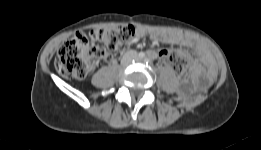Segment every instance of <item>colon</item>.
<instances>
[{
  "instance_id": "obj_1",
  "label": "colon",
  "mask_w": 261,
  "mask_h": 150,
  "mask_svg": "<svg viewBox=\"0 0 261 150\" xmlns=\"http://www.w3.org/2000/svg\"><path fill=\"white\" fill-rule=\"evenodd\" d=\"M136 36L132 25L91 30L87 34L77 33L59 48L55 67L64 77L85 79L102 58L112 52H123ZM100 41L103 48L94 47L91 42ZM163 63L172 67L182 79H187L190 59L178 50H166Z\"/></svg>"
}]
</instances>
